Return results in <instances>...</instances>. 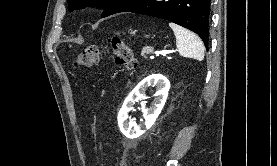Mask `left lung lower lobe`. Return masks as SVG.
Segmentation results:
<instances>
[{
    "label": "left lung lower lobe",
    "instance_id": "obj_1",
    "mask_svg": "<svg viewBox=\"0 0 277 166\" xmlns=\"http://www.w3.org/2000/svg\"><path fill=\"white\" fill-rule=\"evenodd\" d=\"M210 0H139L122 12L174 22L197 33L209 47Z\"/></svg>",
    "mask_w": 277,
    "mask_h": 166
}]
</instances>
